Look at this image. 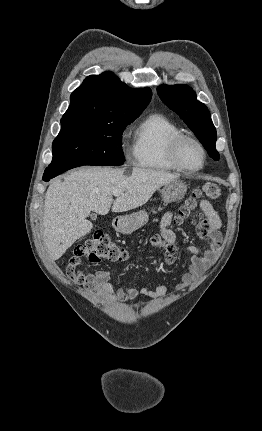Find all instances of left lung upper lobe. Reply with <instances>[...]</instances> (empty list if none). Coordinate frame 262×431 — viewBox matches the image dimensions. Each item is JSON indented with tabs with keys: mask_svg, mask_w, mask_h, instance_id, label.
Returning <instances> with one entry per match:
<instances>
[{
	"mask_svg": "<svg viewBox=\"0 0 262 431\" xmlns=\"http://www.w3.org/2000/svg\"><path fill=\"white\" fill-rule=\"evenodd\" d=\"M157 91L164 104L176 112L195 133L210 157L218 161L219 153L215 148L216 129L210 112L197 100L193 89L187 85H162Z\"/></svg>",
	"mask_w": 262,
	"mask_h": 431,
	"instance_id": "left-lung-upper-lobe-1",
	"label": "left lung upper lobe"
}]
</instances>
